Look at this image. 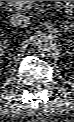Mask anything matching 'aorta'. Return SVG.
<instances>
[{"label": "aorta", "mask_w": 74, "mask_h": 122, "mask_svg": "<svg viewBox=\"0 0 74 122\" xmlns=\"http://www.w3.org/2000/svg\"><path fill=\"white\" fill-rule=\"evenodd\" d=\"M37 50L42 56L49 57L58 51V41L51 34H42L37 40Z\"/></svg>", "instance_id": "1"}]
</instances>
